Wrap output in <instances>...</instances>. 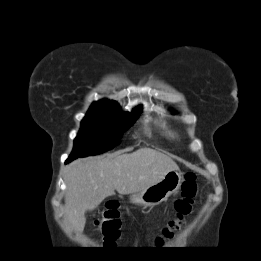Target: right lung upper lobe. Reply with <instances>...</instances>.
Here are the masks:
<instances>
[{
  "instance_id": "obj_1",
  "label": "right lung upper lobe",
  "mask_w": 261,
  "mask_h": 261,
  "mask_svg": "<svg viewBox=\"0 0 261 261\" xmlns=\"http://www.w3.org/2000/svg\"><path fill=\"white\" fill-rule=\"evenodd\" d=\"M107 100H102V101H99V102H106Z\"/></svg>"
}]
</instances>
